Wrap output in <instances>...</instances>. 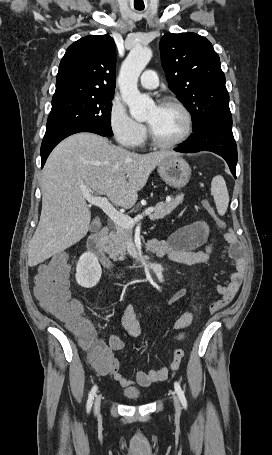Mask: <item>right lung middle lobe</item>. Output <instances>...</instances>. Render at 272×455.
<instances>
[{"mask_svg":"<svg viewBox=\"0 0 272 455\" xmlns=\"http://www.w3.org/2000/svg\"><path fill=\"white\" fill-rule=\"evenodd\" d=\"M113 96L53 100L46 131L67 126L90 125L112 136L110 117Z\"/></svg>","mask_w":272,"mask_h":455,"instance_id":"obj_1","label":"right lung middle lobe"}]
</instances>
